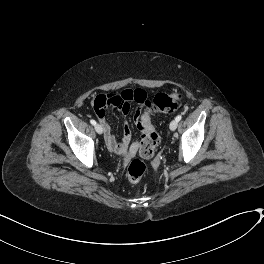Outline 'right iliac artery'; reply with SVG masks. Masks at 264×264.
I'll list each match as a JSON object with an SVG mask.
<instances>
[{"instance_id":"1","label":"right iliac artery","mask_w":264,"mask_h":264,"mask_svg":"<svg viewBox=\"0 0 264 264\" xmlns=\"http://www.w3.org/2000/svg\"><path fill=\"white\" fill-rule=\"evenodd\" d=\"M90 123H91L92 125H96V121L93 120V119L90 120Z\"/></svg>"}]
</instances>
